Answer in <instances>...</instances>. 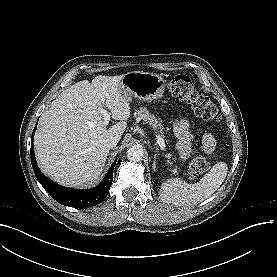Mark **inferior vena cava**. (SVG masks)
Wrapping results in <instances>:
<instances>
[{"label": "inferior vena cava", "instance_id": "1", "mask_svg": "<svg viewBox=\"0 0 277 277\" xmlns=\"http://www.w3.org/2000/svg\"><path fill=\"white\" fill-rule=\"evenodd\" d=\"M118 141L119 140L117 139V137L111 136L106 139L104 145L106 148L110 149V148L115 147L117 145Z\"/></svg>", "mask_w": 277, "mask_h": 277}]
</instances>
